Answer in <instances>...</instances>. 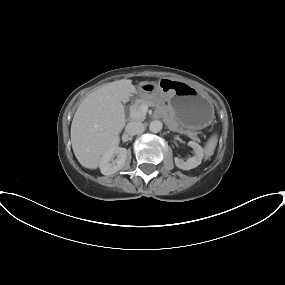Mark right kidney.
<instances>
[{
	"instance_id": "ca27d5eb",
	"label": "right kidney",
	"mask_w": 285,
	"mask_h": 285,
	"mask_svg": "<svg viewBox=\"0 0 285 285\" xmlns=\"http://www.w3.org/2000/svg\"><path fill=\"white\" fill-rule=\"evenodd\" d=\"M128 151L118 146V142L112 144L103 154L100 160V170L103 175H112L121 170L125 164ZM116 158L114 159V157Z\"/></svg>"
}]
</instances>
